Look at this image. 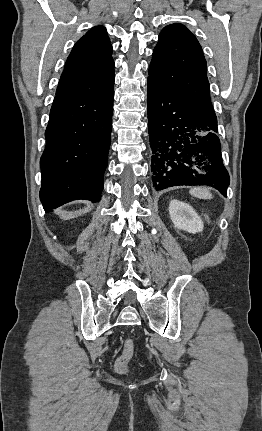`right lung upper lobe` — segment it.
<instances>
[{"label":"right lung upper lobe","instance_id":"1","mask_svg":"<svg viewBox=\"0 0 262 431\" xmlns=\"http://www.w3.org/2000/svg\"><path fill=\"white\" fill-rule=\"evenodd\" d=\"M112 45L102 26L93 27L74 45L56 96H101L114 86Z\"/></svg>","mask_w":262,"mask_h":431}]
</instances>
